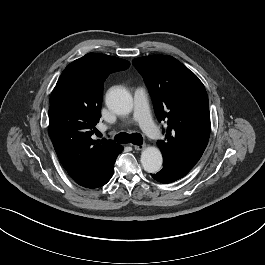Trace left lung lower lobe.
I'll return each instance as SVG.
<instances>
[{"label": "left lung lower lobe", "mask_w": 265, "mask_h": 265, "mask_svg": "<svg viewBox=\"0 0 265 265\" xmlns=\"http://www.w3.org/2000/svg\"><path fill=\"white\" fill-rule=\"evenodd\" d=\"M151 176L161 183H171L178 180L177 178L171 176L168 172L164 170L159 171L157 174H151Z\"/></svg>", "instance_id": "obj_1"}]
</instances>
